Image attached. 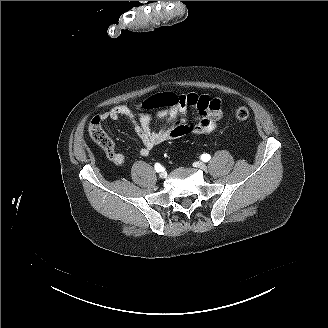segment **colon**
<instances>
[{
	"instance_id": "obj_1",
	"label": "colon",
	"mask_w": 328,
	"mask_h": 328,
	"mask_svg": "<svg viewBox=\"0 0 328 328\" xmlns=\"http://www.w3.org/2000/svg\"><path fill=\"white\" fill-rule=\"evenodd\" d=\"M180 99L174 93L163 92L155 94L145 99L139 107L145 110L174 107L179 104ZM235 117L240 121H245L250 117V112L246 107H239L235 112ZM89 134L93 141L101 147L105 152H109L114 148L113 141L106 134L99 116H95L89 124Z\"/></svg>"
}]
</instances>
